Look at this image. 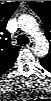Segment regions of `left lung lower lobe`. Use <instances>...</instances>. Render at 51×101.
Segmentation results:
<instances>
[{"label":"left lung lower lobe","mask_w":51,"mask_h":101,"mask_svg":"<svg viewBox=\"0 0 51 101\" xmlns=\"http://www.w3.org/2000/svg\"><path fill=\"white\" fill-rule=\"evenodd\" d=\"M39 61L41 63V65L46 69V70H50L51 68V62H48V60H45L43 58H39Z\"/></svg>","instance_id":"left-lung-lower-lobe-1"}]
</instances>
